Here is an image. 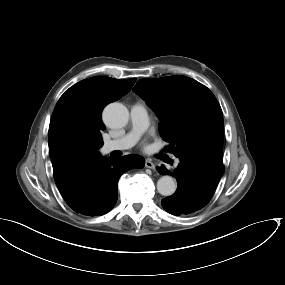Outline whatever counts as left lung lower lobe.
I'll return each mask as SVG.
<instances>
[{
	"instance_id": "left-lung-lower-lobe-1",
	"label": "left lung lower lobe",
	"mask_w": 285,
	"mask_h": 285,
	"mask_svg": "<svg viewBox=\"0 0 285 285\" xmlns=\"http://www.w3.org/2000/svg\"><path fill=\"white\" fill-rule=\"evenodd\" d=\"M178 167L172 172L164 166L157 167L160 174H174L177 178L175 193L162 199L163 208L170 214L190 215L207 205L223 175L222 160L204 155L177 157Z\"/></svg>"
}]
</instances>
